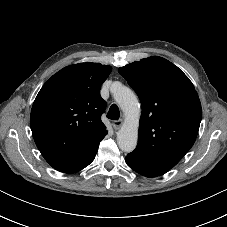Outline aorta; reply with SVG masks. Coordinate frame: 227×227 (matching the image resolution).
Wrapping results in <instances>:
<instances>
[{
    "instance_id": "1",
    "label": "aorta",
    "mask_w": 227,
    "mask_h": 227,
    "mask_svg": "<svg viewBox=\"0 0 227 227\" xmlns=\"http://www.w3.org/2000/svg\"><path fill=\"white\" fill-rule=\"evenodd\" d=\"M111 91L125 115V123L117 133V143L124 152H132L138 141L140 104L134 92L120 83H114Z\"/></svg>"
}]
</instances>
